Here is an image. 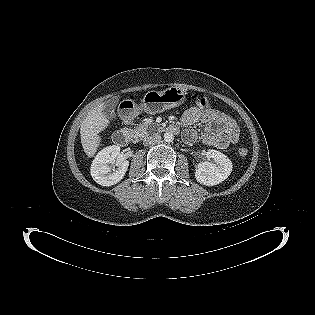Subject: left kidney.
Segmentation results:
<instances>
[{
	"label": "left kidney",
	"mask_w": 315,
	"mask_h": 315,
	"mask_svg": "<svg viewBox=\"0 0 315 315\" xmlns=\"http://www.w3.org/2000/svg\"><path fill=\"white\" fill-rule=\"evenodd\" d=\"M206 155L208 158H212L215 163H199L196 168L195 178L200 184L214 186L228 178L232 172L233 165L231 160L220 151L210 149Z\"/></svg>",
	"instance_id": "5707ae66"
}]
</instances>
